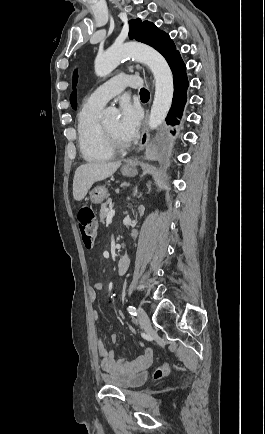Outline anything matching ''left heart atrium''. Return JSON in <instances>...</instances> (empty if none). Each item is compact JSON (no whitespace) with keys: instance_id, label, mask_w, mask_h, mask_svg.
I'll list each match as a JSON object with an SVG mask.
<instances>
[{"instance_id":"obj_1","label":"left heart atrium","mask_w":265,"mask_h":434,"mask_svg":"<svg viewBox=\"0 0 265 434\" xmlns=\"http://www.w3.org/2000/svg\"><path fill=\"white\" fill-rule=\"evenodd\" d=\"M120 101L118 133L124 142L129 143L138 133L141 109L138 105L132 104L126 97L121 98Z\"/></svg>"}]
</instances>
